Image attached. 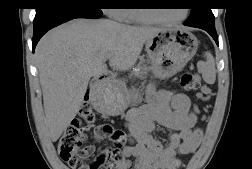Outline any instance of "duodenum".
<instances>
[{"label": "duodenum", "instance_id": "410a0bca", "mask_svg": "<svg viewBox=\"0 0 252 169\" xmlns=\"http://www.w3.org/2000/svg\"><path fill=\"white\" fill-rule=\"evenodd\" d=\"M108 77H109L108 74H104V75L100 76L98 79L104 80V79H106V78H108Z\"/></svg>", "mask_w": 252, "mask_h": 169}]
</instances>
